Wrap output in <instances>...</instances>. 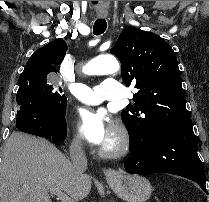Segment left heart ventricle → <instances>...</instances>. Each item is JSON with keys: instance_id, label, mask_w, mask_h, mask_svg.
Listing matches in <instances>:
<instances>
[{"instance_id": "1", "label": "left heart ventricle", "mask_w": 209, "mask_h": 202, "mask_svg": "<svg viewBox=\"0 0 209 202\" xmlns=\"http://www.w3.org/2000/svg\"><path fill=\"white\" fill-rule=\"evenodd\" d=\"M117 140V133L115 132L108 140L107 142L103 145V147H112Z\"/></svg>"}]
</instances>
